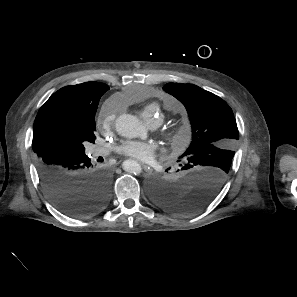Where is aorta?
I'll list each match as a JSON object with an SVG mask.
<instances>
[{
  "label": "aorta",
  "mask_w": 297,
  "mask_h": 297,
  "mask_svg": "<svg viewBox=\"0 0 297 297\" xmlns=\"http://www.w3.org/2000/svg\"><path fill=\"white\" fill-rule=\"evenodd\" d=\"M115 128L119 135L126 138H136L145 134V129L139 119L130 114L120 115L115 122ZM123 169L131 174L139 175L142 171L140 164L128 159L122 164Z\"/></svg>",
  "instance_id": "1"
}]
</instances>
